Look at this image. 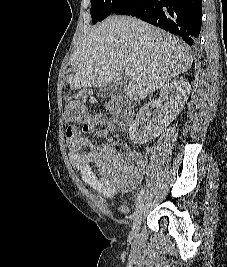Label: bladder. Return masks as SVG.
I'll list each match as a JSON object with an SVG mask.
<instances>
[{"mask_svg":"<svg viewBox=\"0 0 227 267\" xmlns=\"http://www.w3.org/2000/svg\"><path fill=\"white\" fill-rule=\"evenodd\" d=\"M118 212L122 216H126L130 213V206L127 204H120L118 206Z\"/></svg>","mask_w":227,"mask_h":267,"instance_id":"31cf9c89","label":"bladder"}]
</instances>
